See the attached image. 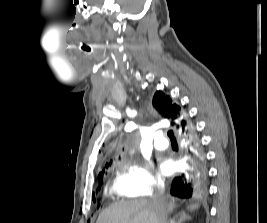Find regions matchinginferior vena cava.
<instances>
[{"instance_id": "1", "label": "inferior vena cava", "mask_w": 267, "mask_h": 223, "mask_svg": "<svg viewBox=\"0 0 267 223\" xmlns=\"http://www.w3.org/2000/svg\"><path fill=\"white\" fill-rule=\"evenodd\" d=\"M151 201L159 212L158 223H167L168 209L164 185L157 187Z\"/></svg>"}]
</instances>
